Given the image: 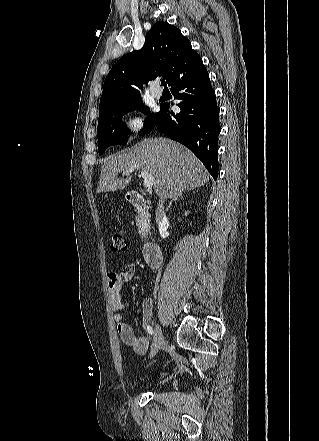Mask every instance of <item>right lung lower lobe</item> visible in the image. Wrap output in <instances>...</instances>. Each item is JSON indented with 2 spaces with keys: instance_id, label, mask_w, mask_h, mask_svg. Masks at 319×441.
Segmentation results:
<instances>
[{
  "instance_id": "98d812e1",
  "label": "right lung lower lobe",
  "mask_w": 319,
  "mask_h": 441,
  "mask_svg": "<svg viewBox=\"0 0 319 441\" xmlns=\"http://www.w3.org/2000/svg\"><path fill=\"white\" fill-rule=\"evenodd\" d=\"M180 113L160 105L155 126L167 137L189 148L216 180L218 177V137L221 131L215 91L202 60L171 84Z\"/></svg>"
}]
</instances>
